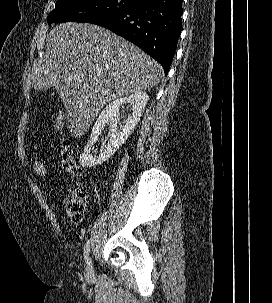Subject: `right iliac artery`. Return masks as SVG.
I'll return each mask as SVG.
<instances>
[{
  "label": "right iliac artery",
  "instance_id": "obj_1",
  "mask_svg": "<svg viewBox=\"0 0 272 303\" xmlns=\"http://www.w3.org/2000/svg\"><path fill=\"white\" fill-rule=\"evenodd\" d=\"M89 252H90V242L88 240L86 242L85 246H84V260H85V262L88 261Z\"/></svg>",
  "mask_w": 272,
  "mask_h": 303
}]
</instances>
